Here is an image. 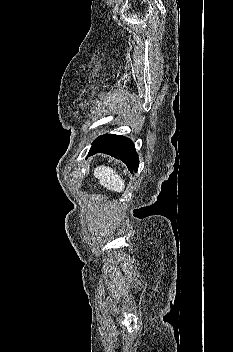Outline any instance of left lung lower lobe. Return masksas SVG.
<instances>
[{"mask_svg": "<svg viewBox=\"0 0 233 352\" xmlns=\"http://www.w3.org/2000/svg\"><path fill=\"white\" fill-rule=\"evenodd\" d=\"M98 152L111 155L116 159L124 162L129 171L137 172L139 165V158L135 150L133 142L120 135L105 134L99 136L93 143L89 150L88 156L94 155Z\"/></svg>", "mask_w": 233, "mask_h": 352, "instance_id": "obj_1", "label": "left lung lower lobe"}]
</instances>
